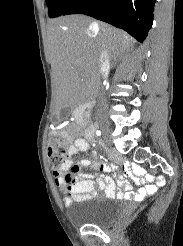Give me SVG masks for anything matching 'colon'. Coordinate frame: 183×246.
I'll list each match as a JSON object with an SVG mask.
<instances>
[{
  "instance_id": "1",
  "label": "colon",
  "mask_w": 183,
  "mask_h": 246,
  "mask_svg": "<svg viewBox=\"0 0 183 246\" xmlns=\"http://www.w3.org/2000/svg\"><path fill=\"white\" fill-rule=\"evenodd\" d=\"M47 155L49 164L55 171L62 169L67 160V150L61 138L56 136H50L48 138Z\"/></svg>"
}]
</instances>
